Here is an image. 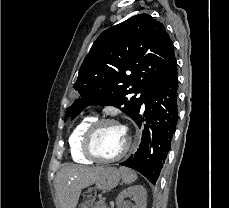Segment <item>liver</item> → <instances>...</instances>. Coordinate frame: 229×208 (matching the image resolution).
I'll list each match as a JSON object with an SVG mask.
<instances>
[{"mask_svg": "<svg viewBox=\"0 0 229 208\" xmlns=\"http://www.w3.org/2000/svg\"><path fill=\"white\" fill-rule=\"evenodd\" d=\"M104 166H78V164H65L55 178V190L60 208H76L83 188L95 184Z\"/></svg>", "mask_w": 229, "mask_h": 208, "instance_id": "6515ba94", "label": "liver"}]
</instances>
